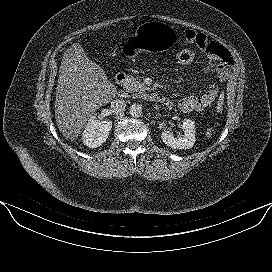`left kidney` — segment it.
I'll return each instance as SVG.
<instances>
[{
	"label": "left kidney",
	"instance_id": "obj_1",
	"mask_svg": "<svg viewBox=\"0 0 272 272\" xmlns=\"http://www.w3.org/2000/svg\"><path fill=\"white\" fill-rule=\"evenodd\" d=\"M183 137L175 138L170 131H163L161 134L162 141L174 149H190L193 147L195 137V124L190 119H184L182 122Z\"/></svg>",
	"mask_w": 272,
	"mask_h": 272
}]
</instances>
